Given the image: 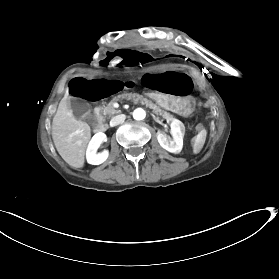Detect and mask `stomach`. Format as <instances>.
<instances>
[{
  "label": "stomach",
  "instance_id": "stomach-1",
  "mask_svg": "<svg viewBox=\"0 0 279 279\" xmlns=\"http://www.w3.org/2000/svg\"><path fill=\"white\" fill-rule=\"evenodd\" d=\"M149 97L153 99L155 105L161 106L167 110L171 109L172 112L186 117L191 116L196 109V102L189 96H186L183 99H178L175 96L163 97L160 94L156 95L154 92H151Z\"/></svg>",
  "mask_w": 279,
  "mask_h": 279
}]
</instances>
